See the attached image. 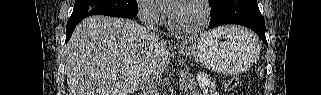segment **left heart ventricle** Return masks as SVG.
Listing matches in <instances>:
<instances>
[{"label":"left heart ventricle","mask_w":321,"mask_h":95,"mask_svg":"<svg viewBox=\"0 0 321 95\" xmlns=\"http://www.w3.org/2000/svg\"><path fill=\"white\" fill-rule=\"evenodd\" d=\"M170 17L176 28L191 29L200 24L201 10L193 3L183 4Z\"/></svg>","instance_id":"b2bd125f"}]
</instances>
